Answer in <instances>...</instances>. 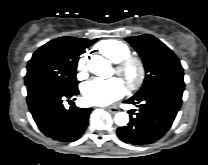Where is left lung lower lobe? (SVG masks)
Segmentation results:
<instances>
[{"label": "left lung lower lobe", "instance_id": "left-lung-lower-lobe-1", "mask_svg": "<svg viewBox=\"0 0 208 165\" xmlns=\"http://www.w3.org/2000/svg\"><path fill=\"white\" fill-rule=\"evenodd\" d=\"M184 83L170 82L152 88L125 103L139 104V111L130 110V122L119 127L120 140L134 145L150 144L159 140L171 127L182 103Z\"/></svg>", "mask_w": 208, "mask_h": 165}]
</instances>
